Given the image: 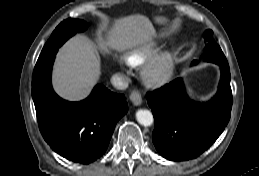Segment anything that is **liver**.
<instances>
[{"label":"liver","mask_w":259,"mask_h":176,"mask_svg":"<svg viewBox=\"0 0 259 176\" xmlns=\"http://www.w3.org/2000/svg\"><path fill=\"white\" fill-rule=\"evenodd\" d=\"M155 36L151 21L135 14L119 18L99 41L104 49L127 50L146 45ZM100 59L95 46L85 37H73L59 50L53 71V87L67 100L88 96L99 80Z\"/></svg>","instance_id":"obj_1"}]
</instances>
